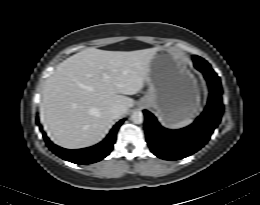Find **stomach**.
<instances>
[{
  "mask_svg": "<svg viewBox=\"0 0 260 205\" xmlns=\"http://www.w3.org/2000/svg\"><path fill=\"white\" fill-rule=\"evenodd\" d=\"M148 91L140 103L165 125L191 118L200 106L199 88L182 54L161 48L150 62Z\"/></svg>",
  "mask_w": 260,
  "mask_h": 205,
  "instance_id": "obj_1",
  "label": "stomach"
}]
</instances>
